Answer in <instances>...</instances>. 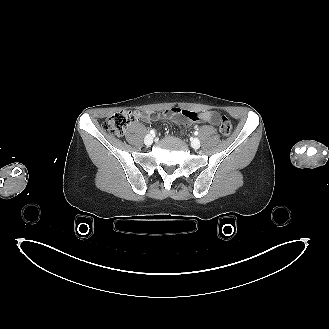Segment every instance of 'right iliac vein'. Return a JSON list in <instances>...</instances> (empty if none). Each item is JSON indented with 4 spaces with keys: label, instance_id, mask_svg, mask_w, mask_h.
<instances>
[{
    "label": "right iliac vein",
    "instance_id": "1",
    "mask_svg": "<svg viewBox=\"0 0 329 329\" xmlns=\"http://www.w3.org/2000/svg\"><path fill=\"white\" fill-rule=\"evenodd\" d=\"M144 143L146 145H151L153 143V137L151 135H147L145 138H144Z\"/></svg>",
    "mask_w": 329,
    "mask_h": 329
}]
</instances>
